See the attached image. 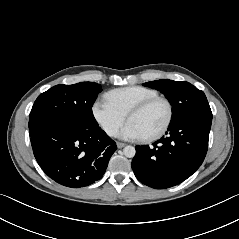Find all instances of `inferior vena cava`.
<instances>
[{
  "label": "inferior vena cava",
  "instance_id": "obj_1",
  "mask_svg": "<svg viewBox=\"0 0 239 239\" xmlns=\"http://www.w3.org/2000/svg\"><path fill=\"white\" fill-rule=\"evenodd\" d=\"M117 129L116 128H110L107 132L110 136H116L117 135Z\"/></svg>",
  "mask_w": 239,
  "mask_h": 239
}]
</instances>
